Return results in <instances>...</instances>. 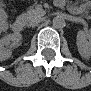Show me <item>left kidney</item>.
<instances>
[{"label": "left kidney", "mask_w": 91, "mask_h": 91, "mask_svg": "<svg viewBox=\"0 0 91 91\" xmlns=\"http://www.w3.org/2000/svg\"><path fill=\"white\" fill-rule=\"evenodd\" d=\"M90 35L85 31H79L77 34V47L80 55L84 58L90 57L91 43L89 41Z\"/></svg>", "instance_id": "1"}]
</instances>
